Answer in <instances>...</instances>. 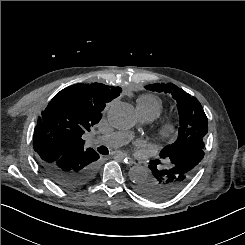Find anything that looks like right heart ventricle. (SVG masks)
<instances>
[{
	"label": "right heart ventricle",
	"instance_id": "1",
	"mask_svg": "<svg viewBox=\"0 0 245 245\" xmlns=\"http://www.w3.org/2000/svg\"><path fill=\"white\" fill-rule=\"evenodd\" d=\"M163 109L162 100L152 94H145L137 99V110L153 115L155 118L159 116Z\"/></svg>",
	"mask_w": 245,
	"mask_h": 245
}]
</instances>
